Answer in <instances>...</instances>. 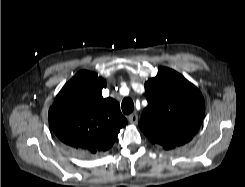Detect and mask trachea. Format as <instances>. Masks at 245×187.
I'll list each match as a JSON object with an SVG mask.
<instances>
[{
  "instance_id": "trachea-1",
  "label": "trachea",
  "mask_w": 245,
  "mask_h": 187,
  "mask_svg": "<svg viewBox=\"0 0 245 187\" xmlns=\"http://www.w3.org/2000/svg\"><path fill=\"white\" fill-rule=\"evenodd\" d=\"M121 108L124 114L128 115L134 110V103L130 98H125L122 101Z\"/></svg>"
}]
</instances>
